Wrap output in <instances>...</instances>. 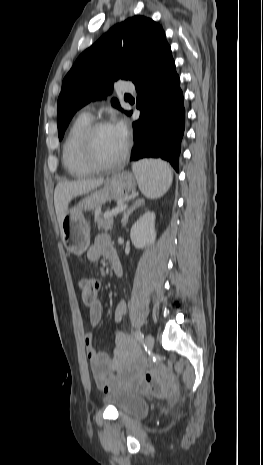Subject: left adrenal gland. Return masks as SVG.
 Wrapping results in <instances>:
<instances>
[{
  "label": "left adrenal gland",
  "instance_id": "left-adrenal-gland-1",
  "mask_svg": "<svg viewBox=\"0 0 263 465\" xmlns=\"http://www.w3.org/2000/svg\"><path fill=\"white\" fill-rule=\"evenodd\" d=\"M145 204V201L143 199H136L132 205L123 213L122 217V226L125 227L129 216L132 214L134 210H136L138 207L143 206Z\"/></svg>",
  "mask_w": 263,
  "mask_h": 465
}]
</instances>
